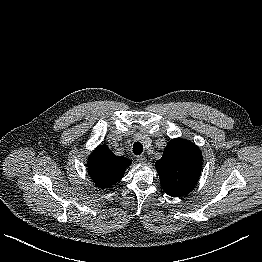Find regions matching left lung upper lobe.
<instances>
[{"instance_id":"obj_1","label":"left lung upper lobe","mask_w":262,"mask_h":262,"mask_svg":"<svg viewBox=\"0 0 262 262\" xmlns=\"http://www.w3.org/2000/svg\"><path fill=\"white\" fill-rule=\"evenodd\" d=\"M155 166L164 192L172 197L184 196L200 177L202 153L192 142L176 138L168 142Z\"/></svg>"}]
</instances>
